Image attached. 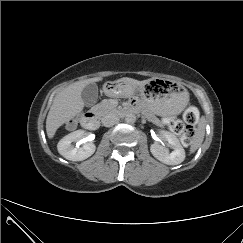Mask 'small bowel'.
<instances>
[{"label":"small bowel","instance_id":"small-bowel-1","mask_svg":"<svg viewBox=\"0 0 243 243\" xmlns=\"http://www.w3.org/2000/svg\"><path fill=\"white\" fill-rule=\"evenodd\" d=\"M132 106H133V107L135 106V102L132 103Z\"/></svg>","mask_w":243,"mask_h":243}]
</instances>
